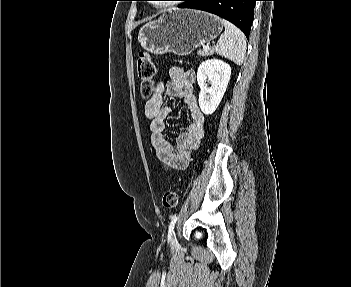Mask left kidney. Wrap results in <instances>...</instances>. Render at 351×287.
I'll list each match as a JSON object with an SVG mask.
<instances>
[{"instance_id": "left-kidney-1", "label": "left kidney", "mask_w": 351, "mask_h": 287, "mask_svg": "<svg viewBox=\"0 0 351 287\" xmlns=\"http://www.w3.org/2000/svg\"><path fill=\"white\" fill-rule=\"evenodd\" d=\"M231 67L220 59H208L202 62L197 71L200 87L199 106L205 115L212 114L220 104L230 80ZM210 82L208 87L206 81Z\"/></svg>"}]
</instances>
